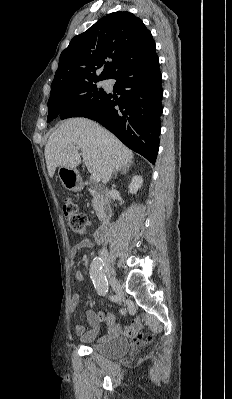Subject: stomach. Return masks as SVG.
I'll return each instance as SVG.
<instances>
[{
	"label": "stomach",
	"mask_w": 232,
	"mask_h": 399,
	"mask_svg": "<svg viewBox=\"0 0 232 399\" xmlns=\"http://www.w3.org/2000/svg\"><path fill=\"white\" fill-rule=\"evenodd\" d=\"M58 176L66 190H81V178L78 170H68L60 166Z\"/></svg>",
	"instance_id": "stomach-1"
}]
</instances>
